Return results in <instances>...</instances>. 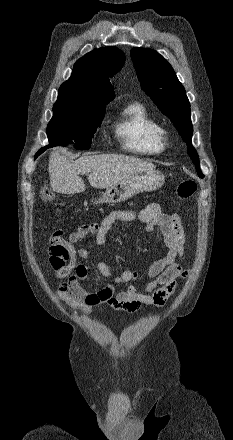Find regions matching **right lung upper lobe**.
Here are the masks:
<instances>
[{"instance_id":"1","label":"right lung upper lobe","mask_w":233,"mask_h":440,"mask_svg":"<svg viewBox=\"0 0 233 440\" xmlns=\"http://www.w3.org/2000/svg\"><path fill=\"white\" fill-rule=\"evenodd\" d=\"M124 62V53L116 47L87 53L76 61L71 77L60 86L56 103L107 105L115 97L110 78Z\"/></svg>"}]
</instances>
